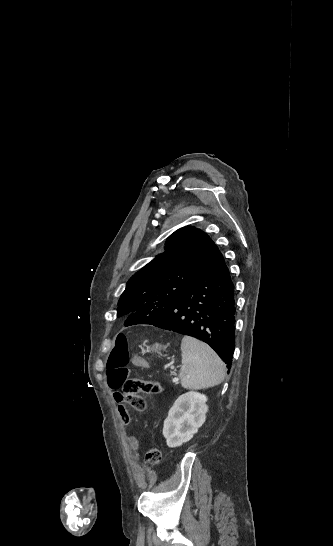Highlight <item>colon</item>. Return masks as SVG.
<instances>
[{
	"label": "colon",
	"mask_w": 333,
	"mask_h": 546,
	"mask_svg": "<svg viewBox=\"0 0 333 546\" xmlns=\"http://www.w3.org/2000/svg\"><path fill=\"white\" fill-rule=\"evenodd\" d=\"M130 362L129 344L124 334H118L115 345L108 359V384L112 389H122V398L137 411H145L146 403L139 394L158 393L162 390L159 383L137 378H128ZM147 463L159 465L163 460V453L159 446L154 445L147 454Z\"/></svg>",
	"instance_id": "5ec220e1"
}]
</instances>
